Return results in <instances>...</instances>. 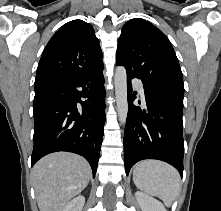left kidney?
I'll list each match as a JSON object with an SVG mask.
<instances>
[{"instance_id": "obj_1", "label": "left kidney", "mask_w": 221, "mask_h": 211, "mask_svg": "<svg viewBox=\"0 0 221 211\" xmlns=\"http://www.w3.org/2000/svg\"><path fill=\"white\" fill-rule=\"evenodd\" d=\"M135 197L142 211H167L159 200L143 192H136Z\"/></svg>"}]
</instances>
